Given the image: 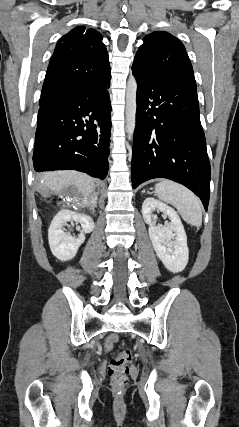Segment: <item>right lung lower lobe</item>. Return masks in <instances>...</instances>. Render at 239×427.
I'll list each match as a JSON object with an SVG mask.
<instances>
[{
	"mask_svg": "<svg viewBox=\"0 0 239 427\" xmlns=\"http://www.w3.org/2000/svg\"><path fill=\"white\" fill-rule=\"evenodd\" d=\"M111 74L41 96L33 163L36 171L75 169L104 179L111 130Z\"/></svg>",
	"mask_w": 239,
	"mask_h": 427,
	"instance_id": "obj_1",
	"label": "right lung lower lobe"
}]
</instances>
